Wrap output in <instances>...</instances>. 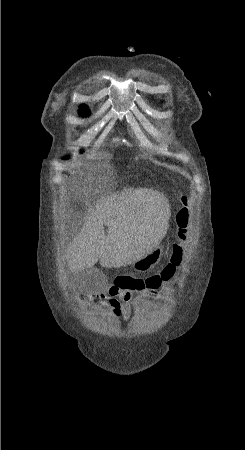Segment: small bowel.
Listing matches in <instances>:
<instances>
[{"label": "small bowel", "instance_id": "small-bowel-1", "mask_svg": "<svg viewBox=\"0 0 245 450\" xmlns=\"http://www.w3.org/2000/svg\"><path fill=\"white\" fill-rule=\"evenodd\" d=\"M174 274L175 269L166 267L159 274L146 278L144 287L135 294L112 287L108 295L92 296L91 302L96 306H107L114 318L127 321L136 312L149 308L150 304L146 301V298L157 299L160 288L164 287V281L171 279Z\"/></svg>", "mask_w": 245, "mask_h": 450}]
</instances>
